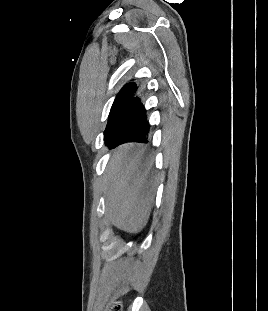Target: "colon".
Listing matches in <instances>:
<instances>
[{
  "label": "colon",
  "instance_id": "obj_1",
  "mask_svg": "<svg viewBox=\"0 0 268 311\" xmlns=\"http://www.w3.org/2000/svg\"><path fill=\"white\" fill-rule=\"evenodd\" d=\"M107 311H121V304L119 301H114L110 304Z\"/></svg>",
  "mask_w": 268,
  "mask_h": 311
}]
</instances>
